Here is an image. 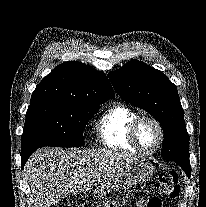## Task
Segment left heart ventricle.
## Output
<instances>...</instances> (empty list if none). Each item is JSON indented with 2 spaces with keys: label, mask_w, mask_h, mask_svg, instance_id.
Masks as SVG:
<instances>
[{
  "label": "left heart ventricle",
  "mask_w": 206,
  "mask_h": 207,
  "mask_svg": "<svg viewBox=\"0 0 206 207\" xmlns=\"http://www.w3.org/2000/svg\"><path fill=\"white\" fill-rule=\"evenodd\" d=\"M137 137L140 145L147 150L154 149L160 140V134L154 123L143 121L137 130Z\"/></svg>",
  "instance_id": "1"
}]
</instances>
